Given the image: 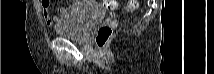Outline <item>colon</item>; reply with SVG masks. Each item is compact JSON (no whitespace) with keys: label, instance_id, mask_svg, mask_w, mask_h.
Listing matches in <instances>:
<instances>
[{"label":"colon","instance_id":"5ec220e1","mask_svg":"<svg viewBox=\"0 0 214 74\" xmlns=\"http://www.w3.org/2000/svg\"><path fill=\"white\" fill-rule=\"evenodd\" d=\"M104 8L106 9H116L117 8V2L112 0H105L102 2ZM137 1H128L126 5V9L129 11H135L137 9ZM112 35V27L110 25H104L99 28L96 36V44L100 48H104L106 44L108 43L110 37Z\"/></svg>","mask_w":214,"mask_h":74}]
</instances>
